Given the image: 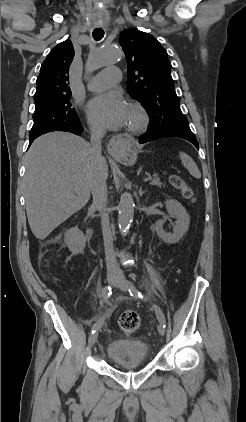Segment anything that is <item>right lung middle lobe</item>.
<instances>
[{
  "mask_svg": "<svg viewBox=\"0 0 246 422\" xmlns=\"http://www.w3.org/2000/svg\"><path fill=\"white\" fill-rule=\"evenodd\" d=\"M70 97H62L48 105L36 108L34 124L29 137L39 135L56 127H72L79 123L77 113L72 109Z\"/></svg>",
  "mask_w": 246,
  "mask_h": 422,
  "instance_id": "right-lung-middle-lobe-1",
  "label": "right lung middle lobe"
}]
</instances>
